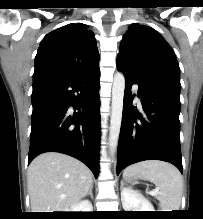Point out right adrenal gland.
Wrapping results in <instances>:
<instances>
[{
    "label": "right adrenal gland",
    "mask_w": 203,
    "mask_h": 219,
    "mask_svg": "<svg viewBox=\"0 0 203 219\" xmlns=\"http://www.w3.org/2000/svg\"><path fill=\"white\" fill-rule=\"evenodd\" d=\"M92 189H93V183L91 184L90 189H89L88 193L86 194V196L90 195L91 199H93Z\"/></svg>",
    "instance_id": "obj_1"
}]
</instances>
